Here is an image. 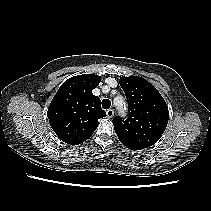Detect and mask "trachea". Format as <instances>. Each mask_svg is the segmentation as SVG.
Returning a JSON list of instances; mask_svg holds the SVG:
<instances>
[{
  "label": "trachea",
  "instance_id": "obj_1",
  "mask_svg": "<svg viewBox=\"0 0 211 211\" xmlns=\"http://www.w3.org/2000/svg\"><path fill=\"white\" fill-rule=\"evenodd\" d=\"M111 106V101L109 99L102 100V107L103 109H109Z\"/></svg>",
  "mask_w": 211,
  "mask_h": 211
}]
</instances>
